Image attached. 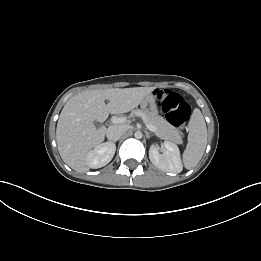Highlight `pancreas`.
Wrapping results in <instances>:
<instances>
[{
	"instance_id": "pancreas-1",
	"label": "pancreas",
	"mask_w": 261,
	"mask_h": 261,
	"mask_svg": "<svg viewBox=\"0 0 261 261\" xmlns=\"http://www.w3.org/2000/svg\"><path fill=\"white\" fill-rule=\"evenodd\" d=\"M131 117L138 116L143 119L145 123L152 124L156 127L155 134L166 141L176 144H182V137L177 128L172 126L162 116L157 114H147L142 110H133L130 114Z\"/></svg>"
}]
</instances>
